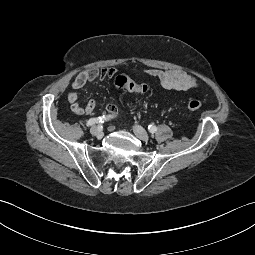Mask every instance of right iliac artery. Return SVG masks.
I'll return each instance as SVG.
<instances>
[{
  "label": "right iliac artery",
  "mask_w": 255,
  "mask_h": 255,
  "mask_svg": "<svg viewBox=\"0 0 255 255\" xmlns=\"http://www.w3.org/2000/svg\"><path fill=\"white\" fill-rule=\"evenodd\" d=\"M111 117L110 116H108V115H103V116H101V117H97V118H91V119H89L88 121H87V126L88 127H90V126H93V125H95V124H97V123H103L104 121H107V120H109Z\"/></svg>",
  "instance_id": "right-iliac-artery-1"
}]
</instances>
